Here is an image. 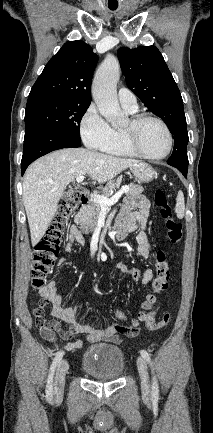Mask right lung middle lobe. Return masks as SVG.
I'll return each instance as SVG.
<instances>
[{
    "label": "right lung middle lobe",
    "instance_id": "1",
    "mask_svg": "<svg viewBox=\"0 0 213 433\" xmlns=\"http://www.w3.org/2000/svg\"><path fill=\"white\" fill-rule=\"evenodd\" d=\"M90 102L38 97L28 99L25 130L45 127L81 142L80 122Z\"/></svg>",
    "mask_w": 213,
    "mask_h": 433
}]
</instances>
